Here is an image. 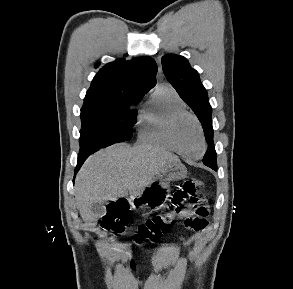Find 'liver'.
<instances>
[{
    "label": "liver",
    "instance_id": "obj_1",
    "mask_svg": "<svg viewBox=\"0 0 293 289\" xmlns=\"http://www.w3.org/2000/svg\"><path fill=\"white\" fill-rule=\"evenodd\" d=\"M179 158L157 146L113 145L90 156L75 181L77 207L84 221L92 222L94 203L140 194L166 165Z\"/></svg>",
    "mask_w": 293,
    "mask_h": 289
}]
</instances>
